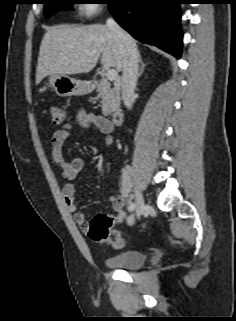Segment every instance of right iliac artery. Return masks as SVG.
<instances>
[{
    "instance_id": "1",
    "label": "right iliac artery",
    "mask_w": 236,
    "mask_h": 321,
    "mask_svg": "<svg viewBox=\"0 0 236 321\" xmlns=\"http://www.w3.org/2000/svg\"><path fill=\"white\" fill-rule=\"evenodd\" d=\"M134 209H135V204L134 203H130L129 211H133Z\"/></svg>"
}]
</instances>
